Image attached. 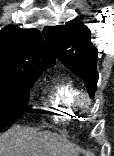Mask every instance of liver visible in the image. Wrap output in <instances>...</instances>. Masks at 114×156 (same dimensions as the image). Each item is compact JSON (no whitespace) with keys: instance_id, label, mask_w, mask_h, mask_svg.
I'll return each instance as SVG.
<instances>
[{"instance_id":"liver-1","label":"liver","mask_w":114,"mask_h":156,"mask_svg":"<svg viewBox=\"0 0 114 156\" xmlns=\"http://www.w3.org/2000/svg\"><path fill=\"white\" fill-rule=\"evenodd\" d=\"M80 148L56 133L15 127L0 135V156H79Z\"/></svg>"}]
</instances>
